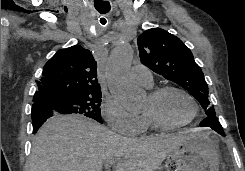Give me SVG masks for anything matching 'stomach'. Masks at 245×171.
<instances>
[{
    "label": "stomach",
    "instance_id": "1",
    "mask_svg": "<svg viewBox=\"0 0 245 171\" xmlns=\"http://www.w3.org/2000/svg\"><path fill=\"white\" fill-rule=\"evenodd\" d=\"M218 139L211 132H195L171 151L166 171H219Z\"/></svg>",
    "mask_w": 245,
    "mask_h": 171
}]
</instances>
